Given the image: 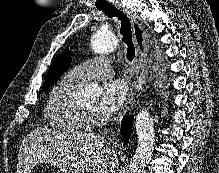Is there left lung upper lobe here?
Returning a JSON list of instances; mask_svg holds the SVG:
<instances>
[{
	"label": "left lung upper lobe",
	"instance_id": "obj_1",
	"mask_svg": "<svg viewBox=\"0 0 219 173\" xmlns=\"http://www.w3.org/2000/svg\"><path fill=\"white\" fill-rule=\"evenodd\" d=\"M71 53L66 50L51 64L42 91L48 89L70 66Z\"/></svg>",
	"mask_w": 219,
	"mask_h": 173
}]
</instances>
